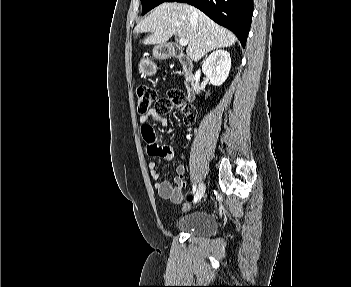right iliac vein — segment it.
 <instances>
[{
  "instance_id": "obj_1",
  "label": "right iliac vein",
  "mask_w": 351,
  "mask_h": 287,
  "mask_svg": "<svg viewBox=\"0 0 351 287\" xmlns=\"http://www.w3.org/2000/svg\"><path fill=\"white\" fill-rule=\"evenodd\" d=\"M204 193H205V184L201 182L195 194L194 202L195 203L198 202L204 196Z\"/></svg>"
}]
</instances>
